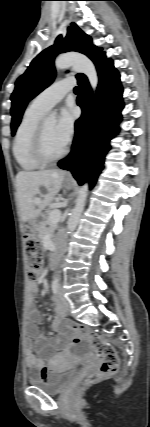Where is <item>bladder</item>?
<instances>
[{
    "label": "bladder",
    "instance_id": "31cf9c89",
    "mask_svg": "<svg viewBox=\"0 0 150 427\" xmlns=\"http://www.w3.org/2000/svg\"><path fill=\"white\" fill-rule=\"evenodd\" d=\"M75 374L74 369L64 371H52L45 379L32 376L29 384L38 387L47 393L58 394L65 390Z\"/></svg>",
    "mask_w": 150,
    "mask_h": 427
}]
</instances>
